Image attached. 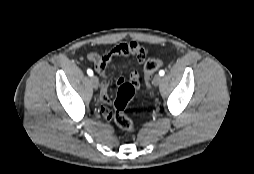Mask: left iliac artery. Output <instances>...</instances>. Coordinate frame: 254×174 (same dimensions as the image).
<instances>
[{
    "label": "left iliac artery",
    "mask_w": 254,
    "mask_h": 174,
    "mask_svg": "<svg viewBox=\"0 0 254 174\" xmlns=\"http://www.w3.org/2000/svg\"><path fill=\"white\" fill-rule=\"evenodd\" d=\"M164 74H165V71H164V70H160V71H159V75H160V76H164Z\"/></svg>",
    "instance_id": "1"
}]
</instances>
